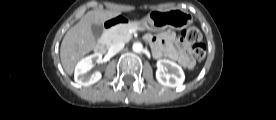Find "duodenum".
<instances>
[{
  "label": "duodenum",
  "instance_id": "1",
  "mask_svg": "<svg viewBox=\"0 0 276 120\" xmlns=\"http://www.w3.org/2000/svg\"><path fill=\"white\" fill-rule=\"evenodd\" d=\"M132 23V18L127 15H115L114 17L108 18L104 21V26L106 30H109L113 26L116 25H123V26H129ZM106 43L105 41H101L96 46V52L98 54H104L106 52Z\"/></svg>",
  "mask_w": 276,
  "mask_h": 120
}]
</instances>
